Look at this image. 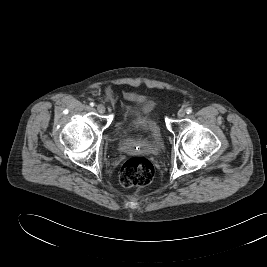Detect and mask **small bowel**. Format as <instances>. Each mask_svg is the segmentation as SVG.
Here are the masks:
<instances>
[{
    "instance_id": "obj_1",
    "label": "small bowel",
    "mask_w": 267,
    "mask_h": 267,
    "mask_svg": "<svg viewBox=\"0 0 267 267\" xmlns=\"http://www.w3.org/2000/svg\"><path fill=\"white\" fill-rule=\"evenodd\" d=\"M125 99L132 104L131 113L139 116L136 124L143 129L152 130V123L146 116L154 108V102L141 92H127Z\"/></svg>"
}]
</instances>
